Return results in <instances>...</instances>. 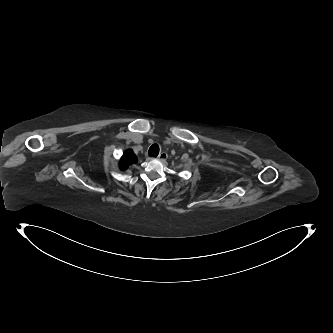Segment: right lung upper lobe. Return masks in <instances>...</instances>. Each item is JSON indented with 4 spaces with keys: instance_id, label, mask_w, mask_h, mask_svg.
Returning a JSON list of instances; mask_svg holds the SVG:
<instances>
[{
    "instance_id": "cb5924a9",
    "label": "right lung upper lobe",
    "mask_w": 333,
    "mask_h": 333,
    "mask_svg": "<svg viewBox=\"0 0 333 333\" xmlns=\"http://www.w3.org/2000/svg\"><path fill=\"white\" fill-rule=\"evenodd\" d=\"M137 161H138V159H137L136 155L134 154L133 150L128 149L124 152L123 156L121 157L120 168L126 169L131 164L137 163Z\"/></svg>"
}]
</instances>
